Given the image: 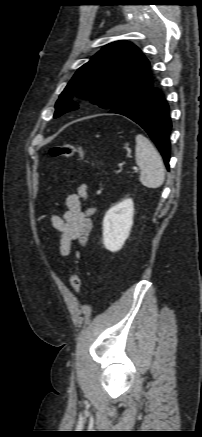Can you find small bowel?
Here are the masks:
<instances>
[{
	"label": "small bowel",
	"mask_w": 202,
	"mask_h": 437,
	"mask_svg": "<svg viewBox=\"0 0 202 437\" xmlns=\"http://www.w3.org/2000/svg\"><path fill=\"white\" fill-rule=\"evenodd\" d=\"M87 198V185L82 184L76 193L67 196L64 213L51 216V224L59 238V252L62 257H67L71 253L74 242L85 245L91 233L94 208H83V202Z\"/></svg>",
	"instance_id": "obj_1"
}]
</instances>
